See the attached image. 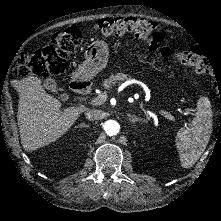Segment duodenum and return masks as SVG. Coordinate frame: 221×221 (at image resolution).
Wrapping results in <instances>:
<instances>
[{"label": "duodenum", "instance_id": "obj_1", "mask_svg": "<svg viewBox=\"0 0 221 221\" xmlns=\"http://www.w3.org/2000/svg\"><path fill=\"white\" fill-rule=\"evenodd\" d=\"M71 87L77 94L87 95L90 90V83L85 77L77 76L72 80Z\"/></svg>", "mask_w": 221, "mask_h": 221}]
</instances>
